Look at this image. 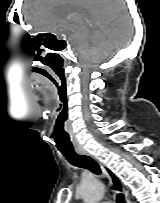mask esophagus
I'll use <instances>...</instances> for the list:
<instances>
[{
    "instance_id": "34e87169",
    "label": "esophagus",
    "mask_w": 160,
    "mask_h": 203,
    "mask_svg": "<svg viewBox=\"0 0 160 203\" xmlns=\"http://www.w3.org/2000/svg\"><path fill=\"white\" fill-rule=\"evenodd\" d=\"M76 152L80 155H85L94 158L90 155L85 149L83 148H76ZM105 175L109 178L111 186L117 190L121 191L124 195L126 203H130L129 194L122 182L120 181L119 177L111 171L106 165L99 163Z\"/></svg>"
}]
</instances>
